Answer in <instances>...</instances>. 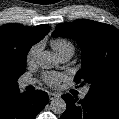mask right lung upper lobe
I'll list each match as a JSON object with an SVG mask.
<instances>
[{
  "instance_id": "1",
  "label": "right lung upper lobe",
  "mask_w": 119,
  "mask_h": 119,
  "mask_svg": "<svg viewBox=\"0 0 119 119\" xmlns=\"http://www.w3.org/2000/svg\"><path fill=\"white\" fill-rule=\"evenodd\" d=\"M50 30L47 24L28 27L18 24L0 26V110L19 93L17 63Z\"/></svg>"
}]
</instances>
